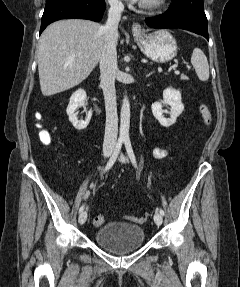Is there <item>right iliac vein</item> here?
Listing matches in <instances>:
<instances>
[{"label": "right iliac vein", "instance_id": "1", "mask_svg": "<svg viewBox=\"0 0 240 287\" xmlns=\"http://www.w3.org/2000/svg\"><path fill=\"white\" fill-rule=\"evenodd\" d=\"M111 154H112V149H110V148H109V149H106V150L104 151V156H105L106 158L110 157ZM86 219H87V212H86V211L81 212V214L79 215V218H78L79 224H80V225H83V224L86 222Z\"/></svg>", "mask_w": 240, "mask_h": 287}]
</instances>
